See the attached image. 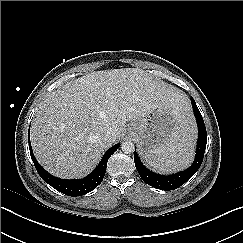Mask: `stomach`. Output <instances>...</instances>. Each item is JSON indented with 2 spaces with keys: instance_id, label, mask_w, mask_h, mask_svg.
Listing matches in <instances>:
<instances>
[{
  "instance_id": "stomach-1",
  "label": "stomach",
  "mask_w": 243,
  "mask_h": 243,
  "mask_svg": "<svg viewBox=\"0 0 243 243\" xmlns=\"http://www.w3.org/2000/svg\"><path fill=\"white\" fill-rule=\"evenodd\" d=\"M179 122L173 109L165 104L153 108L140 121L132 122L128 131L137 139L140 147L146 153L155 152L166 145L176 133Z\"/></svg>"
}]
</instances>
